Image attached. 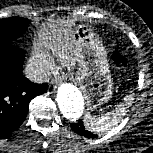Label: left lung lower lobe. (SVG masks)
I'll list each match as a JSON object with an SVG mask.
<instances>
[{
  "instance_id": "left-lung-lower-lobe-1",
  "label": "left lung lower lobe",
  "mask_w": 153,
  "mask_h": 153,
  "mask_svg": "<svg viewBox=\"0 0 153 153\" xmlns=\"http://www.w3.org/2000/svg\"><path fill=\"white\" fill-rule=\"evenodd\" d=\"M70 125H71L72 130L78 135H81L86 138H96L97 137V135L85 129L83 122L81 120H79L77 123H71Z\"/></svg>"
}]
</instances>
